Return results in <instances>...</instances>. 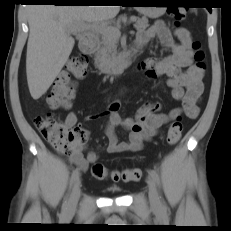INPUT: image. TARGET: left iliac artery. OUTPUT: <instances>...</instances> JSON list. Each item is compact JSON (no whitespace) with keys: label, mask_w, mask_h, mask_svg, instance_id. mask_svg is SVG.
<instances>
[{"label":"left iliac artery","mask_w":231,"mask_h":231,"mask_svg":"<svg viewBox=\"0 0 231 231\" xmlns=\"http://www.w3.org/2000/svg\"><path fill=\"white\" fill-rule=\"evenodd\" d=\"M149 175L154 179V181L156 183H158L159 178H158V174L156 173V171L150 169L149 170Z\"/></svg>","instance_id":"44dca946"}]
</instances>
